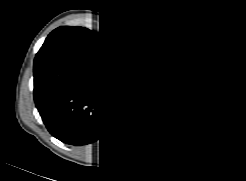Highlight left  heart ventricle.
I'll return each instance as SVG.
<instances>
[{
	"label": "left heart ventricle",
	"mask_w": 246,
	"mask_h": 181,
	"mask_svg": "<svg viewBox=\"0 0 246 181\" xmlns=\"http://www.w3.org/2000/svg\"><path fill=\"white\" fill-rule=\"evenodd\" d=\"M175 65V51L169 48L164 51L157 59L155 67L162 73L168 72Z\"/></svg>",
	"instance_id": "left-heart-ventricle-1"
}]
</instances>
